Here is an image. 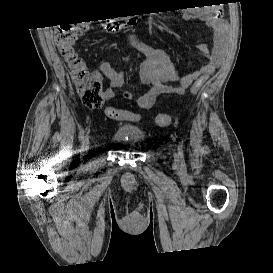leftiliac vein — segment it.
I'll return each mask as SVG.
<instances>
[{
  "instance_id": "obj_1",
  "label": "left iliac vein",
  "mask_w": 273,
  "mask_h": 273,
  "mask_svg": "<svg viewBox=\"0 0 273 273\" xmlns=\"http://www.w3.org/2000/svg\"><path fill=\"white\" fill-rule=\"evenodd\" d=\"M174 159L177 161V159H178V156H177V154L174 152Z\"/></svg>"
}]
</instances>
